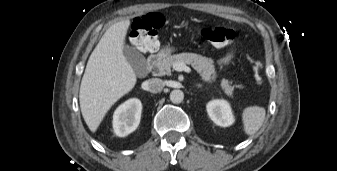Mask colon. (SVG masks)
Wrapping results in <instances>:
<instances>
[{"mask_svg":"<svg viewBox=\"0 0 337 171\" xmlns=\"http://www.w3.org/2000/svg\"><path fill=\"white\" fill-rule=\"evenodd\" d=\"M164 23L163 17L157 13L142 15L134 19L131 33L135 46L140 50H153L157 45V31ZM202 37L215 46H225L232 43L236 37L233 30L225 27H205ZM252 65L255 84L263 83L262 64L254 56H249Z\"/></svg>","mask_w":337,"mask_h":171,"instance_id":"5ec220e1","label":"colon"}]
</instances>
